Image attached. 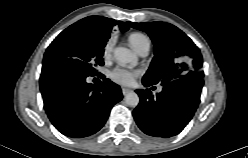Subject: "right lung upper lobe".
<instances>
[{"instance_id":"obj_1","label":"right lung upper lobe","mask_w":248,"mask_h":158,"mask_svg":"<svg viewBox=\"0 0 248 158\" xmlns=\"http://www.w3.org/2000/svg\"><path fill=\"white\" fill-rule=\"evenodd\" d=\"M74 24L83 29L93 40L104 43L110 38L113 26L118 25L123 31L128 29L124 22H116L113 19L101 16H89Z\"/></svg>"}]
</instances>
